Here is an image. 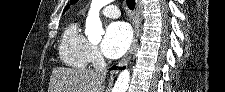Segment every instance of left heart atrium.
I'll use <instances>...</instances> for the list:
<instances>
[{"instance_id": "39dd6f15", "label": "left heart atrium", "mask_w": 225, "mask_h": 92, "mask_svg": "<svg viewBox=\"0 0 225 92\" xmlns=\"http://www.w3.org/2000/svg\"><path fill=\"white\" fill-rule=\"evenodd\" d=\"M132 41V30L129 24L117 21L111 23L102 41V52L110 58L115 59L122 56Z\"/></svg>"}]
</instances>
